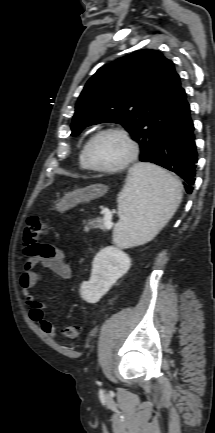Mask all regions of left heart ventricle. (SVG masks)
I'll use <instances>...</instances> for the list:
<instances>
[{
	"label": "left heart ventricle",
	"mask_w": 215,
	"mask_h": 433,
	"mask_svg": "<svg viewBox=\"0 0 215 433\" xmlns=\"http://www.w3.org/2000/svg\"><path fill=\"white\" fill-rule=\"evenodd\" d=\"M126 141L117 134H104L96 139L90 149L92 163L99 167H114L128 156Z\"/></svg>",
	"instance_id": "obj_1"
}]
</instances>
